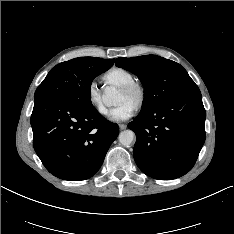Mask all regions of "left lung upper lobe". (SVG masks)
Returning <instances> with one entry per match:
<instances>
[{
  "label": "left lung upper lobe",
  "instance_id": "1",
  "mask_svg": "<svg viewBox=\"0 0 234 234\" xmlns=\"http://www.w3.org/2000/svg\"><path fill=\"white\" fill-rule=\"evenodd\" d=\"M116 66L134 73L142 82L144 100L140 113H147L168 98L196 85L180 64L160 56L117 58Z\"/></svg>",
  "mask_w": 234,
  "mask_h": 234
}]
</instances>
